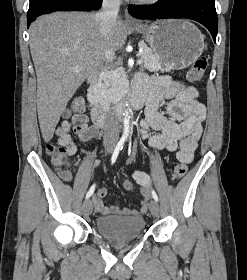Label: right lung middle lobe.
I'll use <instances>...</instances> for the list:
<instances>
[{"mask_svg": "<svg viewBox=\"0 0 247 280\" xmlns=\"http://www.w3.org/2000/svg\"><path fill=\"white\" fill-rule=\"evenodd\" d=\"M37 0H30V4L35 3Z\"/></svg>", "mask_w": 247, "mask_h": 280, "instance_id": "right-lung-middle-lobe-1", "label": "right lung middle lobe"}]
</instances>
